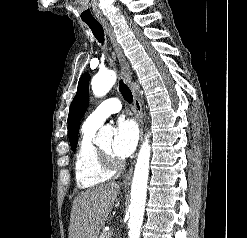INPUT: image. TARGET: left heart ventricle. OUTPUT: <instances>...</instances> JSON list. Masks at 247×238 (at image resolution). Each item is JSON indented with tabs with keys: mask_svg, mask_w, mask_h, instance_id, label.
<instances>
[{
	"mask_svg": "<svg viewBox=\"0 0 247 238\" xmlns=\"http://www.w3.org/2000/svg\"><path fill=\"white\" fill-rule=\"evenodd\" d=\"M101 149L109 154H112V142L108 141L107 143L103 144Z\"/></svg>",
	"mask_w": 247,
	"mask_h": 238,
	"instance_id": "b2bd125f",
	"label": "left heart ventricle"
}]
</instances>
